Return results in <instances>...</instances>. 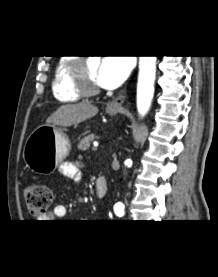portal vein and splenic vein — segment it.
<instances>
[{
  "label": "portal vein and splenic vein",
  "mask_w": 218,
  "mask_h": 277,
  "mask_svg": "<svg viewBox=\"0 0 218 277\" xmlns=\"http://www.w3.org/2000/svg\"><path fill=\"white\" fill-rule=\"evenodd\" d=\"M92 150H93V151H96V150H97V145H96V144L93 145Z\"/></svg>",
  "instance_id": "18ae733b"
}]
</instances>
